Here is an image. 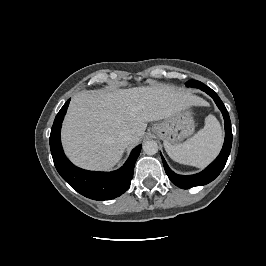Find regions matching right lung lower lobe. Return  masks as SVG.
Returning a JSON list of instances; mask_svg holds the SVG:
<instances>
[{
    "instance_id": "98d812e1",
    "label": "right lung lower lobe",
    "mask_w": 266,
    "mask_h": 266,
    "mask_svg": "<svg viewBox=\"0 0 266 266\" xmlns=\"http://www.w3.org/2000/svg\"><path fill=\"white\" fill-rule=\"evenodd\" d=\"M70 99L58 112L50 134V149L54 165L61 177L78 193L93 200H110L122 195L130 186L134 165L140 154L141 145L130 154L126 163L113 172H94L74 166L65 156L60 131Z\"/></svg>"
}]
</instances>
